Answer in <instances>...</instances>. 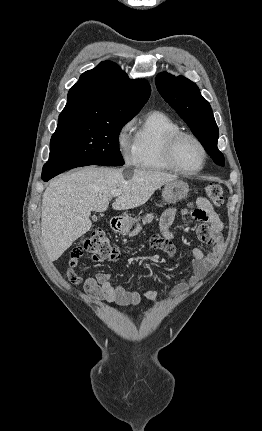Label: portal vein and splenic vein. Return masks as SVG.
Wrapping results in <instances>:
<instances>
[{
	"label": "portal vein and splenic vein",
	"mask_w": 262,
	"mask_h": 431,
	"mask_svg": "<svg viewBox=\"0 0 262 431\" xmlns=\"http://www.w3.org/2000/svg\"><path fill=\"white\" fill-rule=\"evenodd\" d=\"M122 194V191L121 190H114L112 193H111V196L112 197H117V196H120Z\"/></svg>",
	"instance_id": "obj_1"
}]
</instances>
